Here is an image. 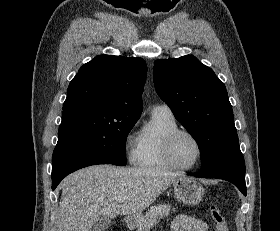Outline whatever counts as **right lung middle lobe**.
Returning a JSON list of instances; mask_svg holds the SVG:
<instances>
[{
	"label": "right lung middle lobe",
	"mask_w": 280,
	"mask_h": 231,
	"mask_svg": "<svg viewBox=\"0 0 280 231\" xmlns=\"http://www.w3.org/2000/svg\"><path fill=\"white\" fill-rule=\"evenodd\" d=\"M136 121L112 117L62 120L54 152H76L113 165H126V138Z\"/></svg>",
	"instance_id": "dd1d6c3e"
}]
</instances>
